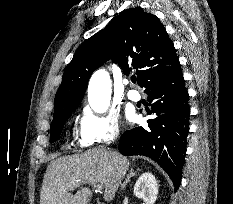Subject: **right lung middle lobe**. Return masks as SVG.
Returning <instances> with one entry per match:
<instances>
[{
  "label": "right lung middle lobe",
  "instance_id": "1",
  "mask_svg": "<svg viewBox=\"0 0 233 204\" xmlns=\"http://www.w3.org/2000/svg\"><path fill=\"white\" fill-rule=\"evenodd\" d=\"M72 111L64 114L62 117L54 119L50 126V142H55L62 131L65 121L70 117Z\"/></svg>",
  "mask_w": 233,
  "mask_h": 204
}]
</instances>
